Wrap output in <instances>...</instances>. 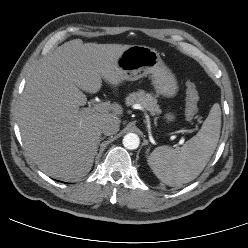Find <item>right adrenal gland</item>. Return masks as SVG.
Segmentation results:
<instances>
[{"label": "right adrenal gland", "instance_id": "1", "mask_svg": "<svg viewBox=\"0 0 248 248\" xmlns=\"http://www.w3.org/2000/svg\"><path fill=\"white\" fill-rule=\"evenodd\" d=\"M104 138H105V137H101V138L99 139L98 145L100 144V142H101Z\"/></svg>", "mask_w": 248, "mask_h": 248}]
</instances>
